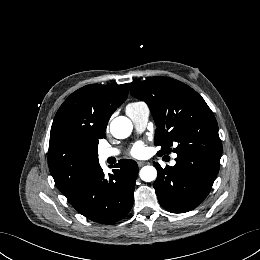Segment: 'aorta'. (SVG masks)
<instances>
[{"label":"aorta","instance_id":"aorta-1","mask_svg":"<svg viewBox=\"0 0 260 260\" xmlns=\"http://www.w3.org/2000/svg\"><path fill=\"white\" fill-rule=\"evenodd\" d=\"M133 129L132 122L125 116H119L112 120L110 132L117 139L127 138ZM140 178L145 182H151L157 177V170L153 166H144L139 172Z\"/></svg>","mask_w":260,"mask_h":260}]
</instances>
